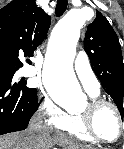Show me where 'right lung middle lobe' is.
Wrapping results in <instances>:
<instances>
[{
  "label": "right lung middle lobe",
  "instance_id": "dd1d6c3e",
  "mask_svg": "<svg viewBox=\"0 0 124 149\" xmlns=\"http://www.w3.org/2000/svg\"><path fill=\"white\" fill-rule=\"evenodd\" d=\"M17 68H6V67H0V77H5L9 80L12 81V78L14 76V73L17 71ZM15 84L20 85V86H26V82L25 81H19V82H15ZM28 88V87H27ZM29 90H31V88H28Z\"/></svg>",
  "mask_w": 124,
  "mask_h": 149
}]
</instances>
